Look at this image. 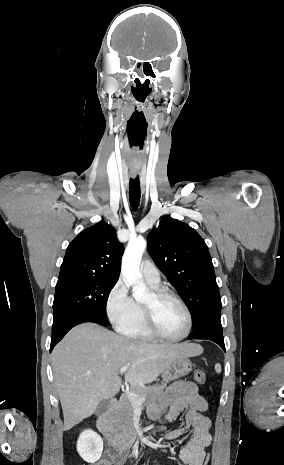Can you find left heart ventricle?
Listing matches in <instances>:
<instances>
[{"mask_svg": "<svg viewBox=\"0 0 284 465\" xmlns=\"http://www.w3.org/2000/svg\"><path fill=\"white\" fill-rule=\"evenodd\" d=\"M154 296L144 303L152 304ZM156 329L166 338H177L183 335L187 327V318L182 308L173 301L165 300L156 307Z\"/></svg>", "mask_w": 284, "mask_h": 465, "instance_id": "b2bd125f", "label": "left heart ventricle"}]
</instances>
